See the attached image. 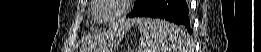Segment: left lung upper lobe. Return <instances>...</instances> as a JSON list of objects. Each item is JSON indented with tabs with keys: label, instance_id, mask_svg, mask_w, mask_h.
<instances>
[{
	"label": "left lung upper lobe",
	"instance_id": "5c2ea615",
	"mask_svg": "<svg viewBox=\"0 0 261 52\" xmlns=\"http://www.w3.org/2000/svg\"><path fill=\"white\" fill-rule=\"evenodd\" d=\"M153 0H137L134 10L129 14V17H134L138 12H140L143 8L148 6Z\"/></svg>",
	"mask_w": 261,
	"mask_h": 52
}]
</instances>
